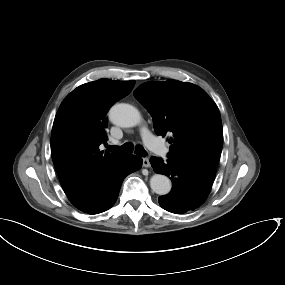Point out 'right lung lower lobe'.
Returning <instances> with one entry per match:
<instances>
[{
	"instance_id": "98d812e1",
	"label": "right lung lower lobe",
	"mask_w": 285,
	"mask_h": 285,
	"mask_svg": "<svg viewBox=\"0 0 285 285\" xmlns=\"http://www.w3.org/2000/svg\"><path fill=\"white\" fill-rule=\"evenodd\" d=\"M141 166L142 158L129 155L122 165L108 173L84 199L74 206L89 214L108 210L117 200L124 178L139 170Z\"/></svg>"
}]
</instances>
